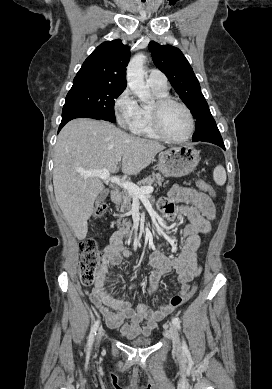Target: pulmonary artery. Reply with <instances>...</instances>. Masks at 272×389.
Wrapping results in <instances>:
<instances>
[{
  "label": "pulmonary artery",
  "instance_id": "obj_1",
  "mask_svg": "<svg viewBox=\"0 0 272 389\" xmlns=\"http://www.w3.org/2000/svg\"><path fill=\"white\" fill-rule=\"evenodd\" d=\"M147 83L153 89H158L163 91L168 90L167 79L165 75L158 70L155 69L149 70L147 76Z\"/></svg>",
  "mask_w": 272,
  "mask_h": 389
}]
</instances>
